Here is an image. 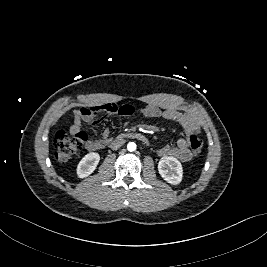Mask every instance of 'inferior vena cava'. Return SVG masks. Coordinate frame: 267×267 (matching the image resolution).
Returning <instances> with one entry per match:
<instances>
[{
  "label": "inferior vena cava",
  "mask_w": 267,
  "mask_h": 267,
  "mask_svg": "<svg viewBox=\"0 0 267 267\" xmlns=\"http://www.w3.org/2000/svg\"><path fill=\"white\" fill-rule=\"evenodd\" d=\"M125 143L123 139H117L111 143V148L117 149Z\"/></svg>",
  "instance_id": "inferior-vena-cava-1"
}]
</instances>
